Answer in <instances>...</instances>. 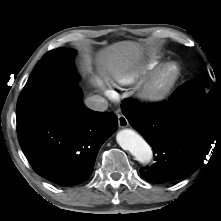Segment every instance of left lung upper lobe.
I'll return each instance as SVG.
<instances>
[{"label": "left lung upper lobe", "instance_id": "obj_1", "mask_svg": "<svg viewBox=\"0 0 221 221\" xmlns=\"http://www.w3.org/2000/svg\"><path fill=\"white\" fill-rule=\"evenodd\" d=\"M220 104L221 92H217L215 88H212L209 92H205L204 84L201 81L190 91L176 90L171 99V105L178 108H215L220 110Z\"/></svg>", "mask_w": 221, "mask_h": 221}]
</instances>
